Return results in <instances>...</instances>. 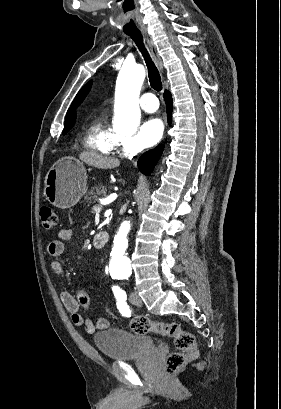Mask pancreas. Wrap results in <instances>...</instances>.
<instances>
[{"instance_id": "1", "label": "pancreas", "mask_w": 281, "mask_h": 409, "mask_svg": "<svg viewBox=\"0 0 281 409\" xmlns=\"http://www.w3.org/2000/svg\"><path fill=\"white\" fill-rule=\"evenodd\" d=\"M103 196H107V188L106 186H93L92 190H88L85 194V200H97V198H103Z\"/></svg>"}]
</instances>
